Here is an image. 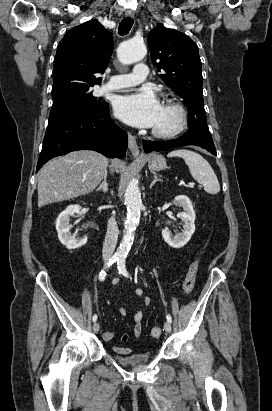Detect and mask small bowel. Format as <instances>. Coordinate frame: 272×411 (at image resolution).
Masks as SVG:
<instances>
[{"label":"small bowel","mask_w":272,"mask_h":411,"mask_svg":"<svg viewBox=\"0 0 272 411\" xmlns=\"http://www.w3.org/2000/svg\"><path fill=\"white\" fill-rule=\"evenodd\" d=\"M117 283H119V279H114L113 284H117ZM134 294L143 302L144 305L148 306L150 304V298L144 295L143 290L141 288L139 287L135 288ZM118 311L121 316L123 317L127 316V311L123 307H119ZM142 319H143V311L142 310L136 311L133 317L134 326H133L132 334L134 337H139L142 333ZM112 338H113V332L107 331L103 333V339L105 341H109ZM129 339H130V335L125 334L122 337L121 343L119 345L114 346V350L120 354H129L131 352V348L125 346V343L128 342Z\"/></svg>","instance_id":"obj_1"}]
</instances>
